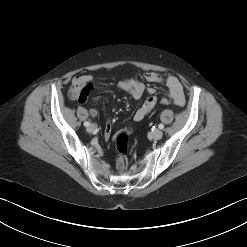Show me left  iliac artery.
Segmentation results:
<instances>
[{
    "label": "left iliac artery",
    "instance_id": "44dca946",
    "mask_svg": "<svg viewBox=\"0 0 247 247\" xmlns=\"http://www.w3.org/2000/svg\"><path fill=\"white\" fill-rule=\"evenodd\" d=\"M160 129H163L164 128V125L163 124H159L158 126Z\"/></svg>",
    "mask_w": 247,
    "mask_h": 247
}]
</instances>
